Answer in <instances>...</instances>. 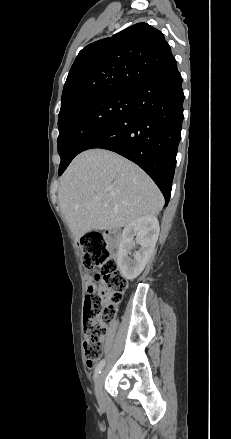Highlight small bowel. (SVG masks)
<instances>
[{
  "mask_svg": "<svg viewBox=\"0 0 231 439\" xmlns=\"http://www.w3.org/2000/svg\"><path fill=\"white\" fill-rule=\"evenodd\" d=\"M95 289V286L94 285H92V284H89L88 285V292H90V291H92V290H94Z\"/></svg>",
  "mask_w": 231,
  "mask_h": 439,
  "instance_id": "1",
  "label": "small bowel"
}]
</instances>
